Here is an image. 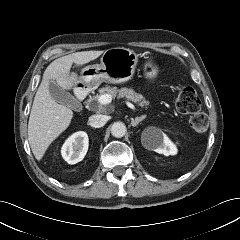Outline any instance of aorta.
I'll return each instance as SVG.
<instances>
[{"label": "aorta", "mask_w": 240, "mask_h": 240, "mask_svg": "<svg viewBox=\"0 0 240 240\" xmlns=\"http://www.w3.org/2000/svg\"><path fill=\"white\" fill-rule=\"evenodd\" d=\"M126 131V126L122 122H115L111 126V134L116 138H122Z\"/></svg>", "instance_id": "aorta-1"}]
</instances>
